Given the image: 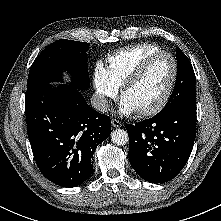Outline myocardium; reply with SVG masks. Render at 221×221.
Segmentation results:
<instances>
[{
  "mask_svg": "<svg viewBox=\"0 0 221 221\" xmlns=\"http://www.w3.org/2000/svg\"><path fill=\"white\" fill-rule=\"evenodd\" d=\"M162 56L168 57L172 63L173 72H172L171 80L168 84V87L165 93L161 97V99L154 106L138 111V114L140 116L146 117V116H152V115L159 113L161 110L164 109V107L167 105V103L171 99L173 91L176 86L177 79H178V74H179L178 63L175 57L171 53L166 52V51H158V52L149 54L138 65H136V67L128 74V76L126 77V79L121 85L120 92H121V96L124 97V94L127 91V89L137 82V80L144 73V71L148 68V66L155 59L162 57Z\"/></svg>",
  "mask_w": 221,
  "mask_h": 221,
  "instance_id": "1",
  "label": "myocardium"
}]
</instances>
